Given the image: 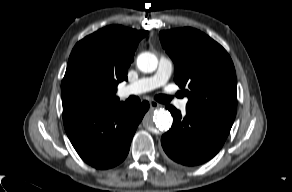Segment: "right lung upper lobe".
I'll return each mask as SVG.
<instances>
[{
  "label": "right lung upper lobe",
  "instance_id": "1",
  "mask_svg": "<svg viewBox=\"0 0 292 192\" xmlns=\"http://www.w3.org/2000/svg\"><path fill=\"white\" fill-rule=\"evenodd\" d=\"M147 34V30L137 31L121 25H111L79 41L71 52L62 80L63 109L73 108L64 98V89L68 80L76 74L89 76L101 87L100 94L91 107L107 108L120 103L116 96L117 85L127 80L136 47Z\"/></svg>",
  "mask_w": 292,
  "mask_h": 192
}]
</instances>
